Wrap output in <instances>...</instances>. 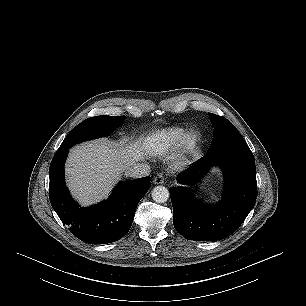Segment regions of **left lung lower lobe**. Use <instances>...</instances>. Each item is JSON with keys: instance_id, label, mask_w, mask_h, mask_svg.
<instances>
[{"instance_id": "obj_1", "label": "left lung lower lobe", "mask_w": 306, "mask_h": 306, "mask_svg": "<svg viewBox=\"0 0 306 306\" xmlns=\"http://www.w3.org/2000/svg\"><path fill=\"white\" fill-rule=\"evenodd\" d=\"M213 165L223 169L225 193L215 205L195 199L185 187H171L173 224L186 239L215 241L230 236L245 220L257 198L254 156L248 145L230 146L207 154L177 176L179 183H191Z\"/></svg>"}]
</instances>
